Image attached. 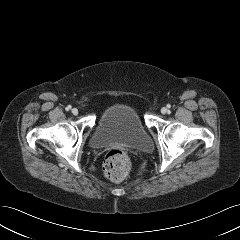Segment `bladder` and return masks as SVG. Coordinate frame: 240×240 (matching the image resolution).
<instances>
[{
    "instance_id": "obj_1",
    "label": "bladder",
    "mask_w": 240,
    "mask_h": 240,
    "mask_svg": "<svg viewBox=\"0 0 240 240\" xmlns=\"http://www.w3.org/2000/svg\"><path fill=\"white\" fill-rule=\"evenodd\" d=\"M150 136L137 110L128 104H116L100 116L92 136L94 147L121 144L138 149L150 146Z\"/></svg>"
}]
</instances>
